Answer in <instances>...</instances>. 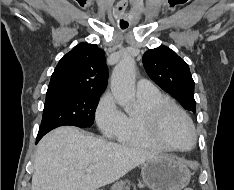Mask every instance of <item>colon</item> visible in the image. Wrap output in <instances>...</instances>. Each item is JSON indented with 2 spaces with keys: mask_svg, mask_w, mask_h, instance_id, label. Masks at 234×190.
<instances>
[{
  "mask_svg": "<svg viewBox=\"0 0 234 190\" xmlns=\"http://www.w3.org/2000/svg\"><path fill=\"white\" fill-rule=\"evenodd\" d=\"M184 190H194V189H192V188H186V189H184Z\"/></svg>",
  "mask_w": 234,
  "mask_h": 190,
  "instance_id": "obj_1",
  "label": "colon"
}]
</instances>
